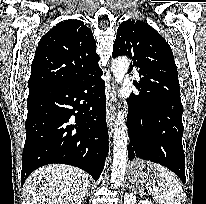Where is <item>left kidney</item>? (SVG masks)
Masks as SVG:
<instances>
[{
  "label": "left kidney",
  "instance_id": "left-kidney-1",
  "mask_svg": "<svg viewBox=\"0 0 206 204\" xmlns=\"http://www.w3.org/2000/svg\"><path fill=\"white\" fill-rule=\"evenodd\" d=\"M136 203V196L133 193H125L124 195V204H135ZM138 204H152L148 200L139 201Z\"/></svg>",
  "mask_w": 206,
  "mask_h": 204
}]
</instances>
